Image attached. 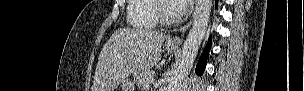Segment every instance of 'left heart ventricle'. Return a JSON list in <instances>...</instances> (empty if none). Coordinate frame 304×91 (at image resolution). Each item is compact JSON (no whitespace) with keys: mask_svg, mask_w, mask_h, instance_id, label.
<instances>
[{"mask_svg":"<svg viewBox=\"0 0 304 91\" xmlns=\"http://www.w3.org/2000/svg\"><path fill=\"white\" fill-rule=\"evenodd\" d=\"M165 7H166V11L169 15H171V16H176L177 15L175 10H174L173 2L166 3Z\"/></svg>","mask_w":304,"mask_h":91,"instance_id":"left-heart-ventricle-1","label":"left heart ventricle"}]
</instances>
